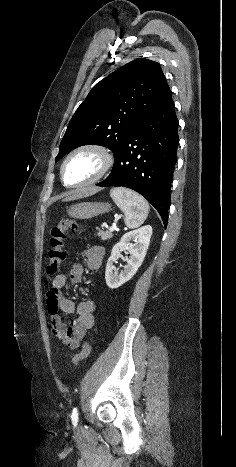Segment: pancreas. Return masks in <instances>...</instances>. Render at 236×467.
<instances>
[{"label":"pancreas","mask_w":236,"mask_h":467,"mask_svg":"<svg viewBox=\"0 0 236 467\" xmlns=\"http://www.w3.org/2000/svg\"><path fill=\"white\" fill-rule=\"evenodd\" d=\"M97 235L101 238L102 241H106V240L112 238V236H113L111 231H103L101 229H98Z\"/></svg>","instance_id":"pancreas-1"}]
</instances>
